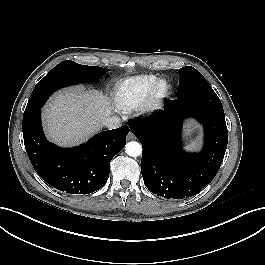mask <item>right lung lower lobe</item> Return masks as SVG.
<instances>
[{
  "mask_svg": "<svg viewBox=\"0 0 265 265\" xmlns=\"http://www.w3.org/2000/svg\"><path fill=\"white\" fill-rule=\"evenodd\" d=\"M41 108L23 117L22 125L25 148L38 175L69 194H88L104 186L112 158L126 144L129 127L100 132L74 148H60L45 138Z\"/></svg>",
  "mask_w": 265,
  "mask_h": 265,
  "instance_id": "right-lung-lower-lobe-1",
  "label": "right lung lower lobe"
}]
</instances>
